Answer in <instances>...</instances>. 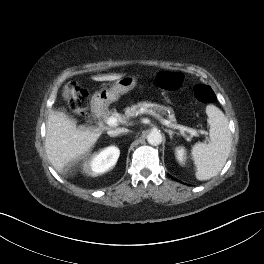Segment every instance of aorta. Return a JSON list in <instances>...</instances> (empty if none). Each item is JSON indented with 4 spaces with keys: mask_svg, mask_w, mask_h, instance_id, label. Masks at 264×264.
I'll return each instance as SVG.
<instances>
[{
    "mask_svg": "<svg viewBox=\"0 0 264 264\" xmlns=\"http://www.w3.org/2000/svg\"><path fill=\"white\" fill-rule=\"evenodd\" d=\"M147 141L152 146H157L162 142V135L159 131L153 130L147 136Z\"/></svg>",
    "mask_w": 264,
    "mask_h": 264,
    "instance_id": "762f6f07",
    "label": "aorta"
}]
</instances>
